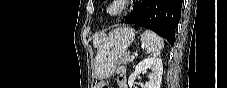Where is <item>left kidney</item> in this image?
Masks as SVG:
<instances>
[{"mask_svg":"<svg viewBox=\"0 0 227 88\" xmlns=\"http://www.w3.org/2000/svg\"><path fill=\"white\" fill-rule=\"evenodd\" d=\"M151 69L152 73L149 75V81L145 83L144 88H160L163 74V63L159 58H146L137 64L135 71L130 75L128 84L132 88L135 78L141 72Z\"/></svg>","mask_w":227,"mask_h":88,"instance_id":"5707ae66","label":"left kidney"}]
</instances>
